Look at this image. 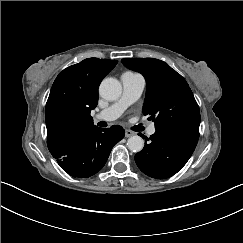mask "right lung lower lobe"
Masks as SVG:
<instances>
[{
  "instance_id": "1",
  "label": "right lung lower lobe",
  "mask_w": 243,
  "mask_h": 243,
  "mask_svg": "<svg viewBox=\"0 0 243 243\" xmlns=\"http://www.w3.org/2000/svg\"><path fill=\"white\" fill-rule=\"evenodd\" d=\"M124 135L121 126L101 129L94 125L72 136L51 154L69 175L87 178L101 170L113 146Z\"/></svg>"
}]
</instances>
